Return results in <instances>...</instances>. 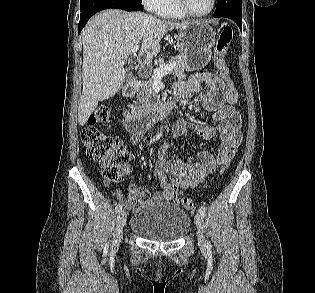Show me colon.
Segmentation results:
<instances>
[{
	"mask_svg": "<svg viewBox=\"0 0 315 293\" xmlns=\"http://www.w3.org/2000/svg\"><path fill=\"white\" fill-rule=\"evenodd\" d=\"M233 30L230 26L224 27L217 37L214 50V62L217 76L227 85V91L235 94L237 89L236 78H230V70L226 63V53L228 51ZM112 116L108 105H100L90 114L87 124L84 126L81 138L88 157L103 166L104 178L109 182H121L128 171L129 153L125 150L123 144L116 137L110 136L97 128L98 124L107 123ZM229 162L225 161L221 165V173L225 172ZM131 190H140L136 185L130 187ZM182 206L187 210L195 207L194 201L190 197H184L181 200Z\"/></svg>",
	"mask_w": 315,
	"mask_h": 293,
	"instance_id": "5ec220e1",
	"label": "colon"
}]
</instances>
